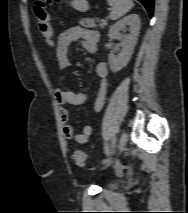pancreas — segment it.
<instances>
[{
	"label": "pancreas",
	"mask_w": 188,
	"mask_h": 213,
	"mask_svg": "<svg viewBox=\"0 0 188 213\" xmlns=\"http://www.w3.org/2000/svg\"><path fill=\"white\" fill-rule=\"evenodd\" d=\"M80 25L86 28H95L96 27V21L91 18H85L80 20Z\"/></svg>",
	"instance_id": "obj_1"
}]
</instances>
